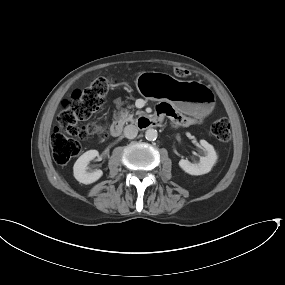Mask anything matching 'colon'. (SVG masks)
Here are the masks:
<instances>
[{"label":"colon","instance_id":"5ec220e1","mask_svg":"<svg viewBox=\"0 0 285 285\" xmlns=\"http://www.w3.org/2000/svg\"><path fill=\"white\" fill-rule=\"evenodd\" d=\"M177 78L184 79L190 75L185 68H175ZM113 87V82L107 77H97L91 81L85 89L77 88L71 96L64 99L61 104V112L58 115V124L54 127L50 137V145L53 158L56 163L64 165L80 152L79 140L92 135H105L103 125L88 123L78 126L81 121L88 119L103 103L104 98ZM182 119V116H177ZM211 133L221 141L230 140V124L226 117H220L212 122Z\"/></svg>","mask_w":285,"mask_h":285}]
</instances>
